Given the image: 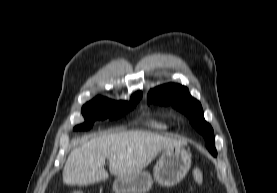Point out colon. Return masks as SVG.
Masks as SVG:
<instances>
[{"instance_id":"5ec220e1","label":"colon","mask_w":277,"mask_h":193,"mask_svg":"<svg viewBox=\"0 0 277 193\" xmlns=\"http://www.w3.org/2000/svg\"><path fill=\"white\" fill-rule=\"evenodd\" d=\"M191 178L194 184H201L203 182V173L200 169L196 168L191 173ZM72 193H84L83 191H74Z\"/></svg>"}]
</instances>
